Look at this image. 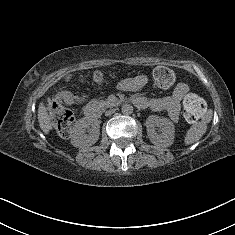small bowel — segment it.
Returning a JSON list of instances; mask_svg holds the SVG:
<instances>
[{
  "label": "small bowel",
  "instance_id": "c3829d8e",
  "mask_svg": "<svg viewBox=\"0 0 235 235\" xmlns=\"http://www.w3.org/2000/svg\"><path fill=\"white\" fill-rule=\"evenodd\" d=\"M146 82L145 77H136L134 84L141 86ZM130 83H124L127 86ZM189 88L184 83H178L173 88L171 95L162 98H148L144 96H136L132 100L140 108H146L153 112L166 111L170 120L176 122L179 118L182 99L187 95Z\"/></svg>",
  "mask_w": 235,
  "mask_h": 235
}]
</instances>
